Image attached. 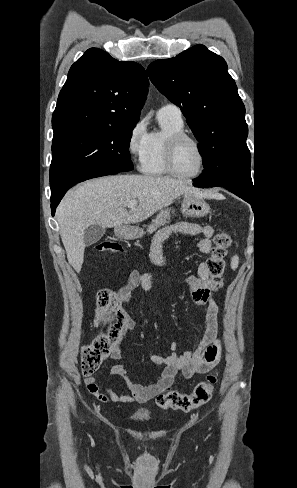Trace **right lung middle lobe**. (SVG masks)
Returning <instances> with one entry per match:
<instances>
[{
    "label": "right lung middle lobe",
    "mask_w": 297,
    "mask_h": 488,
    "mask_svg": "<svg viewBox=\"0 0 297 488\" xmlns=\"http://www.w3.org/2000/svg\"><path fill=\"white\" fill-rule=\"evenodd\" d=\"M134 127L80 128L54 135L51 198L89 176L133 170L129 145Z\"/></svg>",
    "instance_id": "obj_1"
}]
</instances>
